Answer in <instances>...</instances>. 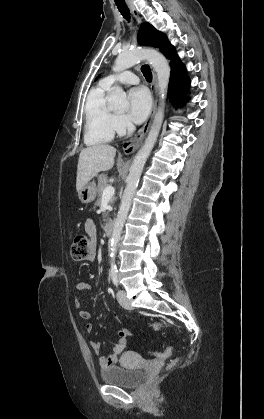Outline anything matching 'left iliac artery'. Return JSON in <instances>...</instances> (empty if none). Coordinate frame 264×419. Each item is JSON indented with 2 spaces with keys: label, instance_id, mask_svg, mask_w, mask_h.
Here are the masks:
<instances>
[{
  "label": "left iliac artery",
  "instance_id": "obj_1",
  "mask_svg": "<svg viewBox=\"0 0 264 419\" xmlns=\"http://www.w3.org/2000/svg\"><path fill=\"white\" fill-rule=\"evenodd\" d=\"M117 273H118V270H117L116 266L112 267L111 268V278H112L113 283L116 286H118V275H117Z\"/></svg>",
  "mask_w": 264,
  "mask_h": 419
}]
</instances>
